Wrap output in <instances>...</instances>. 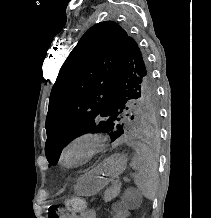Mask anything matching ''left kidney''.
Wrapping results in <instances>:
<instances>
[{
	"instance_id": "1",
	"label": "left kidney",
	"mask_w": 211,
	"mask_h": 218,
	"mask_svg": "<svg viewBox=\"0 0 211 218\" xmlns=\"http://www.w3.org/2000/svg\"><path fill=\"white\" fill-rule=\"evenodd\" d=\"M134 211V207H129V198H118L111 207V218H132Z\"/></svg>"
}]
</instances>
